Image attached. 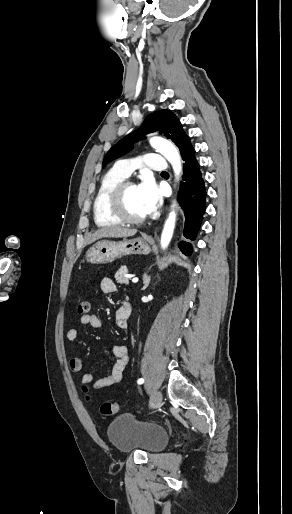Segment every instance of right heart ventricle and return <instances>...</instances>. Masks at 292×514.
Returning a JSON list of instances; mask_svg holds the SVG:
<instances>
[{
	"instance_id": "e07e8e85",
	"label": "right heart ventricle",
	"mask_w": 292,
	"mask_h": 514,
	"mask_svg": "<svg viewBox=\"0 0 292 514\" xmlns=\"http://www.w3.org/2000/svg\"><path fill=\"white\" fill-rule=\"evenodd\" d=\"M125 179L116 170H111L102 177L92 203L93 218L97 226L106 227L118 224V221L107 212L106 196L110 189Z\"/></svg>"
}]
</instances>
